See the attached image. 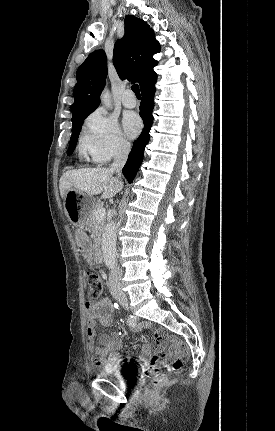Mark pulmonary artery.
I'll return each mask as SVG.
<instances>
[{"label":"pulmonary artery","instance_id":"obj_1","mask_svg":"<svg viewBox=\"0 0 275 431\" xmlns=\"http://www.w3.org/2000/svg\"><path fill=\"white\" fill-rule=\"evenodd\" d=\"M122 104L127 108H133L137 104V100L131 90H126L122 96Z\"/></svg>","mask_w":275,"mask_h":431}]
</instances>
